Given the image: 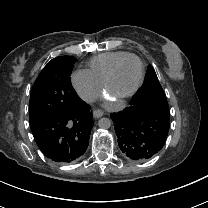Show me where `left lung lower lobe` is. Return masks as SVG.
Masks as SVG:
<instances>
[{
	"instance_id": "1",
	"label": "left lung lower lobe",
	"mask_w": 208,
	"mask_h": 208,
	"mask_svg": "<svg viewBox=\"0 0 208 208\" xmlns=\"http://www.w3.org/2000/svg\"><path fill=\"white\" fill-rule=\"evenodd\" d=\"M110 117L114 122L119 148L128 159L145 161L162 149L169 131V114L130 105Z\"/></svg>"
}]
</instances>
